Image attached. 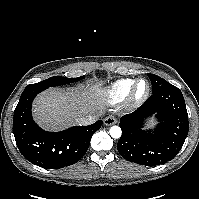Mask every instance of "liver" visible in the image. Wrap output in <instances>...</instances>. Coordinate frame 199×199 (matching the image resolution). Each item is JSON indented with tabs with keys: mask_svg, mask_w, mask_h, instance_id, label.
<instances>
[{
	"mask_svg": "<svg viewBox=\"0 0 199 199\" xmlns=\"http://www.w3.org/2000/svg\"><path fill=\"white\" fill-rule=\"evenodd\" d=\"M100 101L90 88L66 91L52 88L39 94L33 103L35 121L44 129L58 131L78 124L89 114L101 115Z\"/></svg>",
	"mask_w": 199,
	"mask_h": 199,
	"instance_id": "1",
	"label": "liver"
}]
</instances>
